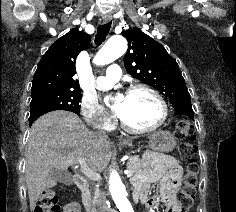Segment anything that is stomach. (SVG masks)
<instances>
[{
	"mask_svg": "<svg viewBox=\"0 0 236 212\" xmlns=\"http://www.w3.org/2000/svg\"><path fill=\"white\" fill-rule=\"evenodd\" d=\"M126 145L132 146V140L125 142ZM149 148L153 151L168 153L171 152L175 146L176 141L174 136L169 131H157L149 137Z\"/></svg>",
	"mask_w": 236,
	"mask_h": 212,
	"instance_id": "0dacf381",
	"label": "stomach"
}]
</instances>
